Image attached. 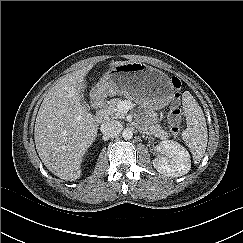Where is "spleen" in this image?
<instances>
[{
    "mask_svg": "<svg viewBox=\"0 0 243 243\" xmlns=\"http://www.w3.org/2000/svg\"><path fill=\"white\" fill-rule=\"evenodd\" d=\"M182 104L187 123V128L182 132V138L189 147L194 161L198 163L205 153L208 142L205 116L188 91L182 95Z\"/></svg>",
    "mask_w": 243,
    "mask_h": 243,
    "instance_id": "1",
    "label": "spleen"
}]
</instances>
